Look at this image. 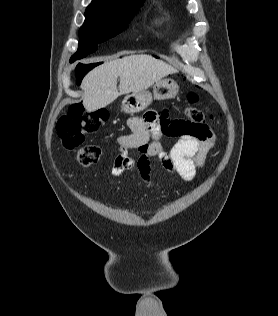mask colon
<instances>
[{
  "label": "colon",
  "mask_w": 278,
  "mask_h": 316,
  "mask_svg": "<svg viewBox=\"0 0 278 316\" xmlns=\"http://www.w3.org/2000/svg\"><path fill=\"white\" fill-rule=\"evenodd\" d=\"M187 99L194 105L199 101V96L190 92ZM185 115L187 120L175 123L170 131L172 135H199L210 119L207 112L195 106H188ZM106 120L107 114L104 111L88 112L82 103L72 104L59 119L57 135L65 148L77 150V159L81 165L90 166L99 160L102 150L98 144L82 145L86 135L95 132Z\"/></svg>",
  "instance_id": "obj_1"
}]
</instances>
